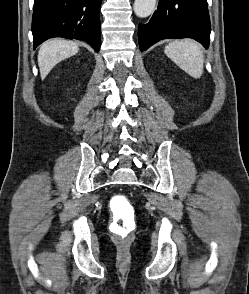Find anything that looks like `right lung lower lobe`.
Masks as SVG:
<instances>
[{"label": "right lung lower lobe", "mask_w": 249, "mask_h": 294, "mask_svg": "<svg viewBox=\"0 0 249 294\" xmlns=\"http://www.w3.org/2000/svg\"><path fill=\"white\" fill-rule=\"evenodd\" d=\"M102 0H35L32 18L34 48L52 37L86 41L100 50L99 10Z\"/></svg>", "instance_id": "98d812e1"}]
</instances>
